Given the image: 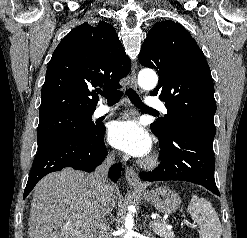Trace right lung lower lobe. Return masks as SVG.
<instances>
[{
  "instance_id": "right-lung-lower-lobe-1",
  "label": "right lung lower lobe",
  "mask_w": 247,
  "mask_h": 238,
  "mask_svg": "<svg viewBox=\"0 0 247 238\" xmlns=\"http://www.w3.org/2000/svg\"><path fill=\"white\" fill-rule=\"evenodd\" d=\"M104 133L105 127L99 124L98 131L89 138H64L39 148L23 198L27 197L41 178L51 172L60 171L66 167L92 172L107 155ZM120 174V164L109 169V177L114 182H117Z\"/></svg>"
}]
</instances>
